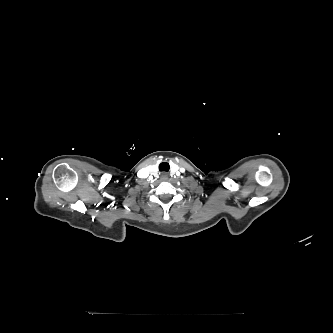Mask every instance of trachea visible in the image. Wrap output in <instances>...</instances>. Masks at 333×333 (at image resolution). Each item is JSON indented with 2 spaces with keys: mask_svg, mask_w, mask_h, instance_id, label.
<instances>
[{
  "mask_svg": "<svg viewBox=\"0 0 333 333\" xmlns=\"http://www.w3.org/2000/svg\"><path fill=\"white\" fill-rule=\"evenodd\" d=\"M159 170L160 171H168L169 170V164L167 162H162L159 165Z\"/></svg>",
  "mask_w": 333,
  "mask_h": 333,
  "instance_id": "trachea-1",
  "label": "trachea"
}]
</instances>
